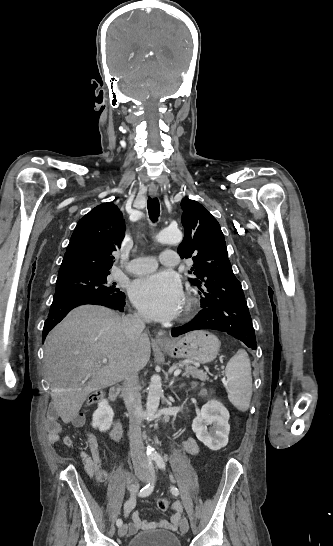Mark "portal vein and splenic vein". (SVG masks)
<instances>
[{
  "label": "portal vein and splenic vein",
  "mask_w": 333,
  "mask_h": 546,
  "mask_svg": "<svg viewBox=\"0 0 333 546\" xmlns=\"http://www.w3.org/2000/svg\"><path fill=\"white\" fill-rule=\"evenodd\" d=\"M107 362V359L106 358H103L102 359V363H106ZM181 373V369H176L174 371V376H178L179 374Z\"/></svg>",
  "instance_id": "18ae733b"
}]
</instances>
